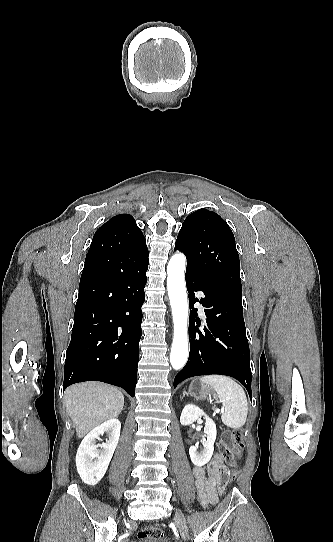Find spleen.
<instances>
[{"label":"spleen","instance_id":"obj_1","mask_svg":"<svg viewBox=\"0 0 333 542\" xmlns=\"http://www.w3.org/2000/svg\"><path fill=\"white\" fill-rule=\"evenodd\" d=\"M201 382L216 392L224 410L221 416L223 424L233 430L242 428L248 416V400L243 388L228 376H204Z\"/></svg>","mask_w":333,"mask_h":542}]
</instances>
